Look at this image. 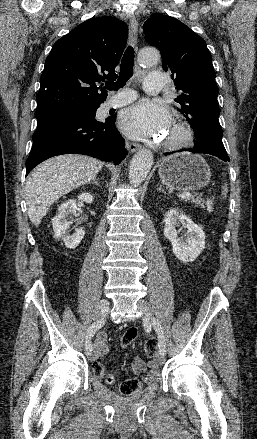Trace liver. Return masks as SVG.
Masks as SVG:
<instances>
[{"label":"liver","mask_w":257,"mask_h":439,"mask_svg":"<svg viewBox=\"0 0 257 439\" xmlns=\"http://www.w3.org/2000/svg\"><path fill=\"white\" fill-rule=\"evenodd\" d=\"M103 163L91 157L67 154L48 159L27 178L28 215L38 227L50 206L62 195L94 180Z\"/></svg>","instance_id":"6515ba94"}]
</instances>
